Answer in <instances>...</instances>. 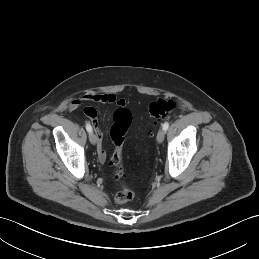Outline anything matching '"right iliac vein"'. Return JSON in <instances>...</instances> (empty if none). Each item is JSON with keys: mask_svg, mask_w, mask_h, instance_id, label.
Segmentation results:
<instances>
[{"mask_svg": "<svg viewBox=\"0 0 259 259\" xmlns=\"http://www.w3.org/2000/svg\"><path fill=\"white\" fill-rule=\"evenodd\" d=\"M89 140H90V142H91L93 145H95V144L97 143V137H96V135L91 132V133L89 134Z\"/></svg>", "mask_w": 259, "mask_h": 259, "instance_id": "63e3f726", "label": "right iliac vein"}]
</instances>
